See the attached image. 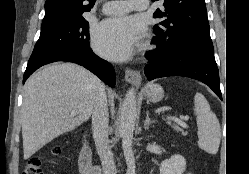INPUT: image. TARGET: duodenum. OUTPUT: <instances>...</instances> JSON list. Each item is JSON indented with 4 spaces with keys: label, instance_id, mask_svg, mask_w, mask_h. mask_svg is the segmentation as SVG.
<instances>
[{
    "label": "duodenum",
    "instance_id": "obj_1",
    "mask_svg": "<svg viewBox=\"0 0 249 174\" xmlns=\"http://www.w3.org/2000/svg\"><path fill=\"white\" fill-rule=\"evenodd\" d=\"M79 170L81 174H103L102 167L92 163V153L86 136L79 156Z\"/></svg>",
    "mask_w": 249,
    "mask_h": 174
}]
</instances>
